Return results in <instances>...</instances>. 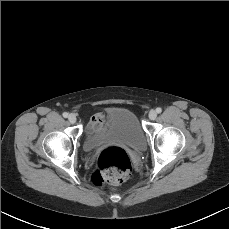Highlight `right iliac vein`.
<instances>
[{
  "mask_svg": "<svg viewBox=\"0 0 229 229\" xmlns=\"http://www.w3.org/2000/svg\"><path fill=\"white\" fill-rule=\"evenodd\" d=\"M68 120H69L70 123L73 124V123L76 122L77 118H76V116H75L74 114H70V115L68 116Z\"/></svg>",
  "mask_w": 229,
  "mask_h": 229,
  "instance_id": "right-iliac-vein-1",
  "label": "right iliac vein"
}]
</instances>
